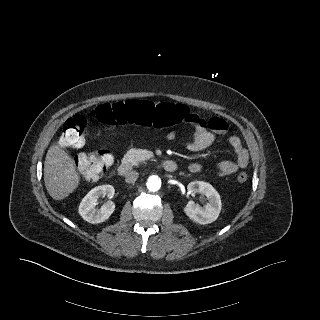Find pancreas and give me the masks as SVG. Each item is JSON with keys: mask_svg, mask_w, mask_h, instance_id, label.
<instances>
[{"mask_svg": "<svg viewBox=\"0 0 320 320\" xmlns=\"http://www.w3.org/2000/svg\"><path fill=\"white\" fill-rule=\"evenodd\" d=\"M145 159V156L135 148H131L124 155V160L129 162L132 166H137L140 162L145 161Z\"/></svg>", "mask_w": 320, "mask_h": 320, "instance_id": "cf45deb5", "label": "pancreas"}]
</instances>
